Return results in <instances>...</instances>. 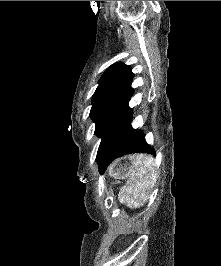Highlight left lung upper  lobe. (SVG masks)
I'll return each mask as SVG.
<instances>
[{
	"instance_id": "obj_1",
	"label": "left lung upper lobe",
	"mask_w": 221,
	"mask_h": 266,
	"mask_svg": "<svg viewBox=\"0 0 221 266\" xmlns=\"http://www.w3.org/2000/svg\"><path fill=\"white\" fill-rule=\"evenodd\" d=\"M133 77L130 67L118 62L111 65L100 78L90 111L98 137H103L116 113L133 95Z\"/></svg>"
}]
</instances>
